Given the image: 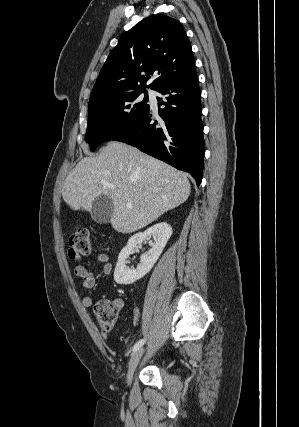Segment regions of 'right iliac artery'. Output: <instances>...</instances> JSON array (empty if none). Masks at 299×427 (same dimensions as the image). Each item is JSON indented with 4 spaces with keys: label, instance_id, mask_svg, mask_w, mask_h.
I'll use <instances>...</instances> for the list:
<instances>
[{
    "label": "right iliac artery",
    "instance_id": "obj_1",
    "mask_svg": "<svg viewBox=\"0 0 299 427\" xmlns=\"http://www.w3.org/2000/svg\"><path fill=\"white\" fill-rule=\"evenodd\" d=\"M145 343V339L139 340L133 347V352L137 351Z\"/></svg>",
    "mask_w": 299,
    "mask_h": 427
}]
</instances>
